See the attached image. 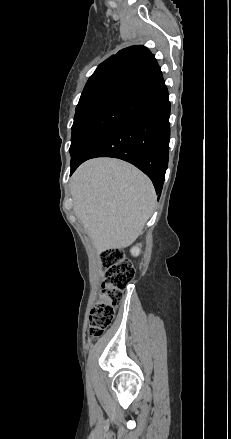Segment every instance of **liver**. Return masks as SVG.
<instances>
[{"instance_id":"1","label":"liver","mask_w":231,"mask_h":439,"mask_svg":"<svg viewBox=\"0 0 231 439\" xmlns=\"http://www.w3.org/2000/svg\"><path fill=\"white\" fill-rule=\"evenodd\" d=\"M71 183L74 212L97 253L130 245L154 211L152 182L127 162L91 159L75 171Z\"/></svg>"}]
</instances>
